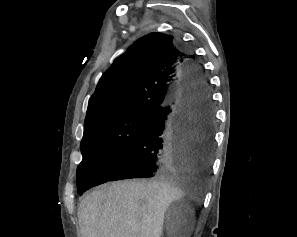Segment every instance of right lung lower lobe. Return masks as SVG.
<instances>
[{
    "mask_svg": "<svg viewBox=\"0 0 297 237\" xmlns=\"http://www.w3.org/2000/svg\"><path fill=\"white\" fill-rule=\"evenodd\" d=\"M184 73L185 81L170 102L153 112L138 139L98 185L209 170L214 112L208 84L193 55L185 62Z\"/></svg>",
    "mask_w": 297,
    "mask_h": 237,
    "instance_id": "1",
    "label": "right lung lower lobe"
}]
</instances>
